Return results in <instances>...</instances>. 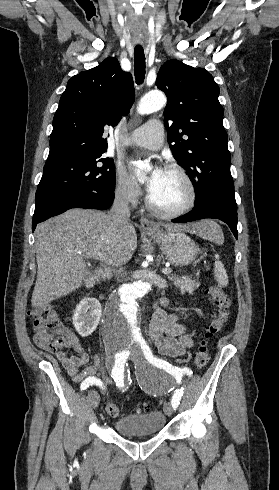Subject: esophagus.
<instances>
[{"label":"esophagus","instance_id":"1","mask_svg":"<svg viewBox=\"0 0 279 490\" xmlns=\"http://www.w3.org/2000/svg\"><path fill=\"white\" fill-rule=\"evenodd\" d=\"M140 225L141 227L146 229H152V230L158 229V225L155 222L148 220V218L144 216L140 217Z\"/></svg>","mask_w":279,"mask_h":490}]
</instances>
